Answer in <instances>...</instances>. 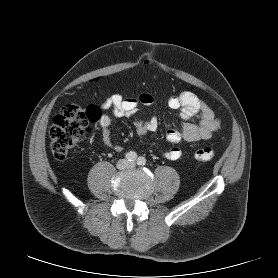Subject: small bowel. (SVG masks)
Masks as SVG:
<instances>
[{"instance_id": "obj_1", "label": "small bowel", "mask_w": 278, "mask_h": 278, "mask_svg": "<svg viewBox=\"0 0 278 278\" xmlns=\"http://www.w3.org/2000/svg\"><path fill=\"white\" fill-rule=\"evenodd\" d=\"M154 102V96L148 92L130 98L116 93L103 102L102 109L110 111L116 117L132 120L136 126L137 135L144 137L149 132H155L159 127V122L155 117L148 120L140 119L137 116L138 108L140 105L150 106ZM167 104L171 109L179 111V117L184 122L181 126L169 125L166 129V140L173 145L164 154L169 160L181 158L182 150L177 146L181 141L208 140L220 128V121L212 108L193 92L183 91L171 95L168 97ZM195 117L198 118V122H191V119ZM100 126L105 145L117 152L122 151L121 145L112 142L110 114L105 113L100 117Z\"/></svg>"}]
</instances>
